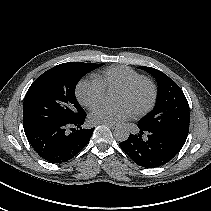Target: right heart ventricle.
<instances>
[{"label":"right heart ventricle","mask_w":211,"mask_h":211,"mask_svg":"<svg viewBox=\"0 0 211 211\" xmlns=\"http://www.w3.org/2000/svg\"><path fill=\"white\" fill-rule=\"evenodd\" d=\"M144 76L128 66H114L104 69L96 78L100 80L105 89L119 88L133 80Z\"/></svg>","instance_id":"e07e8e85"}]
</instances>
